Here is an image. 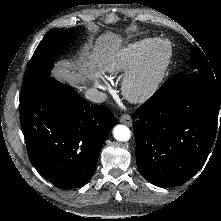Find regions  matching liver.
Masks as SVG:
<instances>
[{
  "label": "liver",
  "mask_w": 221,
  "mask_h": 221,
  "mask_svg": "<svg viewBox=\"0 0 221 221\" xmlns=\"http://www.w3.org/2000/svg\"><path fill=\"white\" fill-rule=\"evenodd\" d=\"M121 42V39L112 33H106L98 39L94 56L99 60V67L113 68L116 65L120 57ZM93 68L90 63H87L84 68L77 70L72 68V65L68 62H60L53 71V76L78 87L83 75L93 73Z\"/></svg>",
  "instance_id": "obj_1"
}]
</instances>
